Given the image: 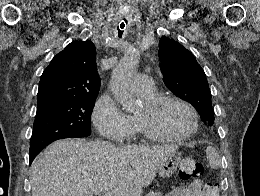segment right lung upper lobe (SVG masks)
<instances>
[{"label":"right lung upper lobe","mask_w":260,"mask_h":196,"mask_svg":"<svg viewBox=\"0 0 260 196\" xmlns=\"http://www.w3.org/2000/svg\"><path fill=\"white\" fill-rule=\"evenodd\" d=\"M100 78L94 44L74 41L58 53L44 70L37 95V106L83 94H97Z\"/></svg>","instance_id":"1"}]
</instances>
